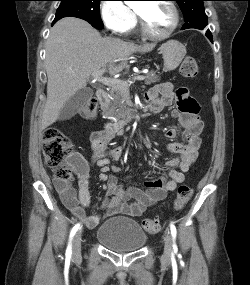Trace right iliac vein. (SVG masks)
I'll list each match as a JSON object with an SVG mask.
<instances>
[{
	"label": "right iliac vein",
	"mask_w": 250,
	"mask_h": 285,
	"mask_svg": "<svg viewBox=\"0 0 250 285\" xmlns=\"http://www.w3.org/2000/svg\"><path fill=\"white\" fill-rule=\"evenodd\" d=\"M82 230H79L73 238V256H79L81 252Z\"/></svg>",
	"instance_id": "63e3f726"
}]
</instances>
